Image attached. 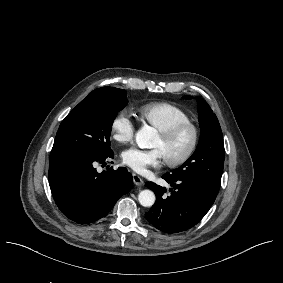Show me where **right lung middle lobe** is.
Wrapping results in <instances>:
<instances>
[{
	"label": "right lung middle lobe",
	"mask_w": 283,
	"mask_h": 283,
	"mask_svg": "<svg viewBox=\"0 0 283 283\" xmlns=\"http://www.w3.org/2000/svg\"><path fill=\"white\" fill-rule=\"evenodd\" d=\"M123 89L102 87L92 91L62 121L50 158L74 153L109 155L113 120L127 102Z\"/></svg>",
	"instance_id": "obj_1"
}]
</instances>
